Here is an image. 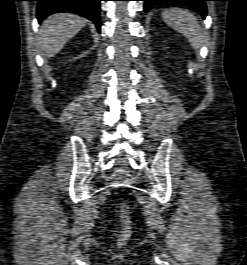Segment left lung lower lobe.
I'll return each mask as SVG.
<instances>
[{"instance_id": "0a47b994", "label": "left lung lower lobe", "mask_w": 247, "mask_h": 265, "mask_svg": "<svg viewBox=\"0 0 247 265\" xmlns=\"http://www.w3.org/2000/svg\"><path fill=\"white\" fill-rule=\"evenodd\" d=\"M145 1L144 10L148 11L152 6L183 5L197 11L202 17H206V1L211 0H142Z\"/></svg>"}]
</instances>
